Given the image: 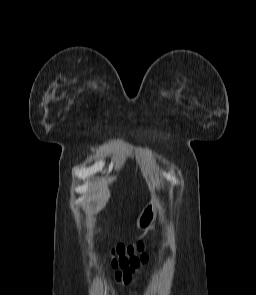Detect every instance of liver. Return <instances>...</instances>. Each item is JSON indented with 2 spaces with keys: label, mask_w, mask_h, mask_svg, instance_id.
<instances>
[{
  "label": "liver",
  "mask_w": 256,
  "mask_h": 295,
  "mask_svg": "<svg viewBox=\"0 0 256 295\" xmlns=\"http://www.w3.org/2000/svg\"><path fill=\"white\" fill-rule=\"evenodd\" d=\"M109 197L110 192L107 183H99L92 188L91 195L88 197L89 204L85 207V211L90 215L98 213L106 205Z\"/></svg>",
  "instance_id": "6515ba94"
}]
</instances>
